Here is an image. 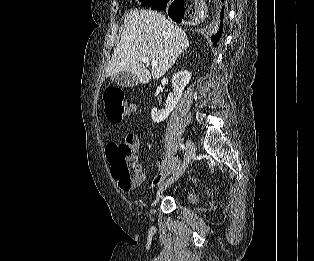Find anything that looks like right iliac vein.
<instances>
[{
  "instance_id": "63e3f726",
  "label": "right iliac vein",
  "mask_w": 314,
  "mask_h": 261,
  "mask_svg": "<svg viewBox=\"0 0 314 261\" xmlns=\"http://www.w3.org/2000/svg\"><path fill=\"white\" fill-rule=\"evenodd\" d=\"M193 154H194V144L191 140H187L186 152H185L183 164L179 168V170L171 178H169L165 183H163L160 186L158 193H157L156 202L161 197L163 191L181 177V175L184 173L185 169L187 168L188 164L190 163V161L193 157Z\"/></svg>"
}]
</instances>
